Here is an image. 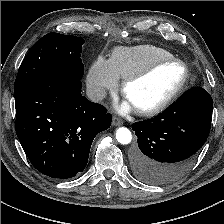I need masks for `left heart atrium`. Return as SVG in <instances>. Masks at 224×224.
<instances>
[{
    "label": "left heart atrium",
    "instance_id": "1",
    "mask_svg": "<svg viewBox=\"0 0 224 224\" xmlns=\"http://www.w3.org/2000/svg\"><path fill=\"white\" fill-rule=\"evenodd\" d=\"M133 109H134V106L128 100L124 101L119 107V111L123 113L131 112Z\"/></svg>",
    "mask_w": 224,
    "mask_h": 224
}]
</instances>
